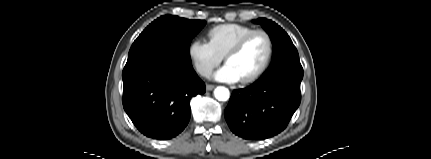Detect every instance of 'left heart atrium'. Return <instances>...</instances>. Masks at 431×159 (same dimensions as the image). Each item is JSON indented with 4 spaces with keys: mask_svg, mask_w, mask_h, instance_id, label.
<instances>
[{
    "mask_svg": "<svg viewBox=\"0 0 431 159\" xmlns=\"http://www.w3.org/2000/svg\"><path fill=\"white\" fill-rule=\"evenodd\" d=\"M214 78L220 82L235 83L240 80L238 75L228 64H225L214 73Z\"/></svg>",
    "mask_w": 431,
    "mask_h": 159,
    "instance_id": "left-heart-atrium-1",
    "label": "left heart atrium"
}]
</instances>
